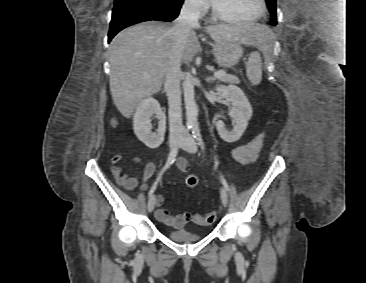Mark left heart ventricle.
I'll list each match as a JSON object with an SVG mask.
<instances>
[{
  "mask_svg": "<svg viewBox=\"0 0 366 283\" xmlns=\"http://www.w3.org/2000/svg\"><path fill=\"white\" fill-rule=\"evenodd\" d=\"M217 9L223 14L238 18L248 19L259 12L258 0H213Z\"/></svg>",
  "mask_w": 366,
  "mask_h": 283,
  "instance_id": "left-heart-ventricle-1",
  "label": "left heart ventricle"
}]
</instances>
